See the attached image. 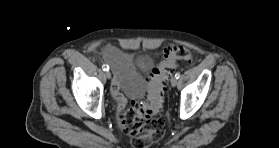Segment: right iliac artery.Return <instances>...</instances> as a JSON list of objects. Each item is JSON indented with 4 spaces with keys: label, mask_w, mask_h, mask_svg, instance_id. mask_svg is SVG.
Segmentation results:
<instances>
[{
    "label": "right iliac artery",
    "mask_w": 279,
    "mask_h": 148,
    "mask_svg": "<svg viewBox=\"0 0 279 148\" xmlns=\"http://www.w3.org/2000/svg\"><path fill=\"white\" fill-rule=\"evenodd\" d=\"M102 69H103L104 71H109V66H108L107 64H103V65H102Z\"/></svg>",
    "instance_id": "obj_1"
}]
</instances>
